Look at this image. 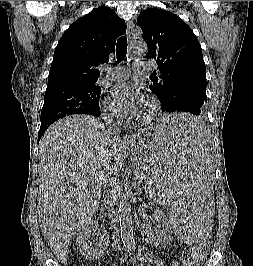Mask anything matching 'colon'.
<instances>
[{
	"label": "colon",
	"instance_id": "colon-1",
	"mask_svg": "<svg viewBox=\"0 0 253 266\" xmlns=\"http://www.w3.org/2000/svg\"><path fill=\"white\" fill-rule=\"evenodd\" d=\"M210 243L206 242V248H190L184 258V266H200L207 255Z\"/></svg>",
	"mask_w": 253,
	"mask_h": 266
}]
</instances>
